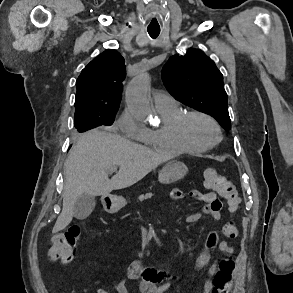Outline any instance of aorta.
I'll return each mask as SVG.
<instances>
[{"label":"aorta","mask_w":293,"mask_h":293,"mask_svg":"<svg viewBox=\"0 0 293 293\" xmlns=\"http://www.w3.org/2000/svg\"><path fill=\"white\" fill-rule=\"evenodd\" d=\"M149 84L148 73H141L129 83L126 90L129 108L141 119H150L152 116V106L148 95Z\"/></svg>","instance_id":"1"}]
</instances>
